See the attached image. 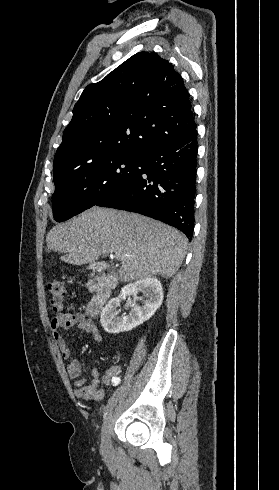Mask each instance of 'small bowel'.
<instances>
[{
    "instance_id": "small-bowel-1",
    "label": "small bowel",
    "mask_w": 279,
    "mask_h": 490,
    "mask_svg": "<svg viewBox=\"0 0 279 490\" xmlns=\"http://www.w3.org/2000/svg\"><path fill=\"white\" fill-rule=\"evenodd\" d=\"M49 326L52 332V339L57 344L62 357L68 360L67 372L71 379H75V395L84 400H103L106 390L98 387L100 383L99 371L96 368H92L89 376L79 378L81 364L78 360L71 359L72 350L60 332L61 329L69 330L77 327L79 330L89 334L94 341L100 342L102 336L98 328L84 314L78 312L55 313L50 319ZM120 374L121 367L118 364H113L107 369L101 380L106 386H114L118 383ZM88 382L90 383L87 384Z\"/></svg>"
}]
</instances>
